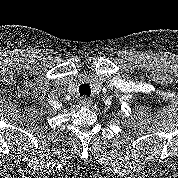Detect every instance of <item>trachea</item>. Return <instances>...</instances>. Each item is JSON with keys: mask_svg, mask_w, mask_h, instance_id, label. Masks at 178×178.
<instances>
[{"mask_svg": "<svg viewBox=\"0 0 178 178\" xmlns=\"http://www.w3.org/2000/svg\"><path fill=\"white\" fill-rule=\"evenodd\" d=\"M79 93H80V96L90 97V94H91L90 86L88 84H81L79 86Z\"/></svg>", "mask_w": 178, "mask_h": 178, "instance_id": "1", "label": "trachea"}]
</instances>
